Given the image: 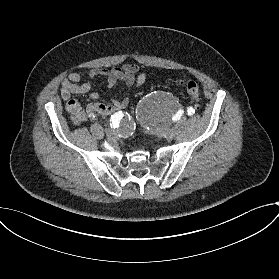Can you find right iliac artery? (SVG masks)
<instances>
[{"mask_svg":"<svg viewBox=\"0 0 279 279\" xmlns=\"http://www.w3.org/2000/svg\"><path fill=\"white\" fill-rule=\"evenodd\" d=\"M87 116H91L92 114L90 113H87L86 114ZM92 118L94 117L93 115L91 116ZM96 119H99L100 117L99 116H96L95 117ZM121 118H120V116H119V114H115V115H112L111 116V121H112V123H111V127L112 128H118L119 127V120H120Z\"/></svg>","mask_w":279,"mask_h":279,"instance_id":"1","label":"right iliac artery"}]
</instances>
